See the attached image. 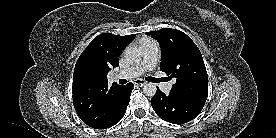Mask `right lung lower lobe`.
I'll return each instance as SVG.
<instances>
[{
	"label": "right lung lower lobe",
	"mask_w": 276,
	"mask_h": 138,
	"mask_svg": "<svg viewBox=\"0 0 276 138\" xmlns=\"http://www.w3.org/2000/svg\"><path fill=\"white\" fill-rule=\"evenodd\" d=\"M133 86L131 82L121 86L118 93L116 110L113 112L111 119L101 127H96V129H107L112 127L123 118L130 101V94L133 90Z\"/></svg>",
	"instance_id": "1"
}]
</instances>
